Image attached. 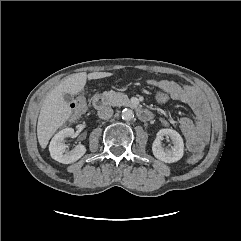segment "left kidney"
Instances as JSON below:
<instances>
[{
	"instance_id": "left-kidney-1",
	"label": "left kidney",
	"mask_w": 241,
	"mask_h": 241,
	"mask_svg": "<svg viewBox=\"0 0 241 241\" xmlns=\"http://www.w3.org/2000/svg\"><path fill=\"white\" fill-rule=\"evenodd\" d=\"M164 137H170L174 146L170 150H164L161 145V140ZM153 155L165 163L177 162L183 157L184 143L181 135L173 129H161L158 131L156 139L152 144Z\"/></svg>"
}]
</instances>
